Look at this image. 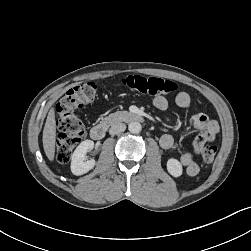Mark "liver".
<instances>
[{
  "label": "liver",
  "instance_id": "6515ba94",
  "mask_svg": "<svg viewBox=\"0 0 251 251\" xmlns=\"http://www.w3.org/2000/svg\"><path fill=\"white\" fill-rule=\"evenodd\" d=\"M55 141H56V121H55V111L52 108L48 113L46 123L43 129V148L47 158L50 161L54 160Z\"/></svg>",
  "mask_w": 251,
  "mask_h": 251
}]
</instances>
